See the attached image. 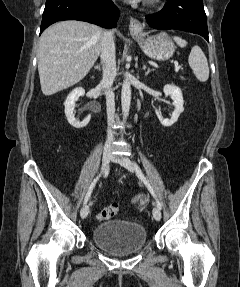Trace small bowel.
Returning a JSON list of instances; mask_svg holds the SVG:
<instances>
[{
	"label": "small bowel",
	"instance_id": "obj_1",
	"mask_svg": "<svg viewBox=\"0 0 240 287\" xmlns=\"http://www.w3.org/2000/svg\"><path fill=\"white\" fill-rule=\"evenodd\" d=\"M133 201L140 209H143L147 203V197L144 194H139L134 197Z\"/></svg>",
	"mask_w": 240,
	"mask_h": 287
}]
</instances>
